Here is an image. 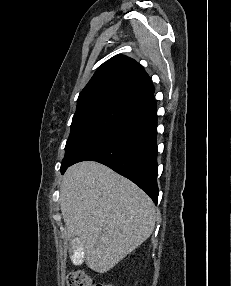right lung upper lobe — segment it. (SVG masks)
I'll list each match as a JSON object with an SVG mask.
<instances>
[{"mask_svg": "<svg viewBox=\"0 0 231 286\" xmlns=\"http://www.w3.org/2000/svg\"><path fill=\"white\" fill-rule=\"evenodd\" d=\"M153 93L143 67L131 58L117 55L98 68L79 94L76 110L105 102L135 110Z\"/></svg>", "mask_w": 231, "mask_h": 286, "instance_id": "cb5924a9", "label": "right lung upper lobe"}]
</instances>
